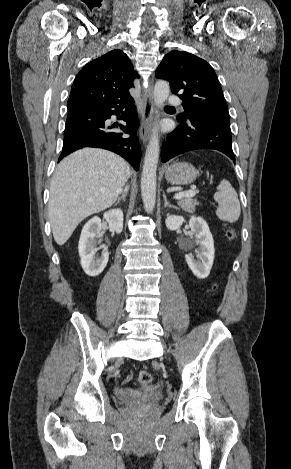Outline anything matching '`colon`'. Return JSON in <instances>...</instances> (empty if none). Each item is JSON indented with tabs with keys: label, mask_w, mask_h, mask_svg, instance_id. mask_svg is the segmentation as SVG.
<instances>
[{
	"label": "colon",
	"mask_w": 291,
	"mask_h": 469,
	"mask_svg": "<svg viewBox=\"0 0 291 469\" xmlns=\"http://www.w3.org/2000/svg\"><path fill=\"white\" fill-rule=\"evenodd\" d=\"M227 238L229 239V241H234L236 238V232L232 227H228L227 229ZM152 380V374L146 370H141L136 375V382L141 386L149 385Z\"/></svg>",
	"instance_id": "1"
}]
</instances>
